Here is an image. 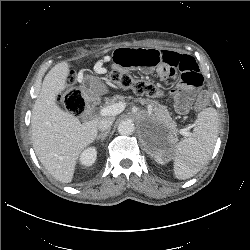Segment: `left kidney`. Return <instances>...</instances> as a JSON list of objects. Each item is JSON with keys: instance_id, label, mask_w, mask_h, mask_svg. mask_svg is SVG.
I'll use <instances>...</instances> for the list:
<instances>
[{"instance_id": "left-kidney-1", "label": "left kidney", "mask_w": 250, "mask_h": 250, "mask_svg": "<svg viewBox=\"0 0 250 250\" xmlns=\"http://www.w3.org/2000/svg\"><path fill=\"white\" fill-rule=\"evenodd\" d=\"M153 157H154L155 161L160 163V164H164L166 161V158L164 156V150H162V149H157L156 151H154Z\"/></svg>"}]
</instances>
